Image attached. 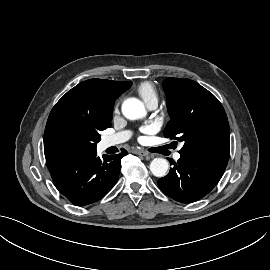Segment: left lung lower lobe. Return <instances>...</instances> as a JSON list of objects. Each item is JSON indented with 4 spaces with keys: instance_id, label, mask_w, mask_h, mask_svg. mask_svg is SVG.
<instances>
[{
    "instance_id": "left-lung-lower-lobe-1",
    "label": "left lung lower lobe",
    "mask_w": 270,
    "mask_h": 270,
    "mask_svg": "<svg viewBox=\"0 0 270 270\" xmlns=\"http://www.w3.org/2000/svg\"><path fill=\"white\" fill-rule=\"evenodd\" d=\"M172 163L168 175L158 180L160 189L172 199L190 203L207 195L222 177L227 160L200 155H183Z\"/></svg>"
}]
</instances>
